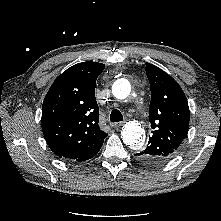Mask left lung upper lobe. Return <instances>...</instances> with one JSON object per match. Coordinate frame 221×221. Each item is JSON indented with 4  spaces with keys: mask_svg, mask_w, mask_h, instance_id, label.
Here are the masks:
<instances>
[{
    "mask_svg": "<svg viewBox=\"0 0 221 221\" xmlns=\"http://www.w3.org/2000/svg\"><path fill=\"white\" fill-rule=\"evenodd\" d=\"M151 102L149 121L153 129L147 147L137 153L147 163L169 159L186 138L189 127V106L179 84L159 67L146 63Z\"/></svg>",
    "mask_w": 221,
    "mask_h": 221,
    "instance_id": "5c2ea615",
    "label": "left lung upper lobe"
}]
</instances>
